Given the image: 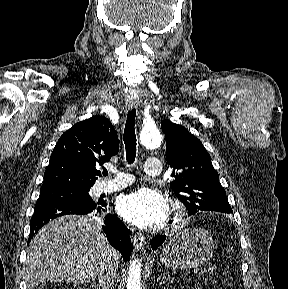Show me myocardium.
<instances>
[{
	"label": "myocardium",
	"mask_w": 288,
	"mask_h": 289,
	"mask_svg": "<svg viewBox=\"0 0 288 289\" xmlns=\"http://www.w3.org/2000/svg\"><path fill=\"white\" fill-rule=\"evenodd\" d=\"M188 223V210L186 205L179 201L174 200L171 204V219L170 227L173 231H178L187 226Z\"/></svg>",
	"instance_id": "myocardium-1"
}]
</instances>
